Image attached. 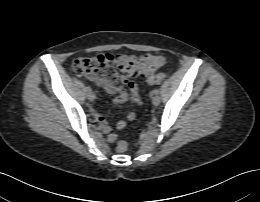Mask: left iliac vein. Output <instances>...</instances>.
Segmentation results:
<instances>
[{"label":"left iliac vein","instance_id":"left-iliac-vein-1","mask_svg":"<svg viewBox=\"0 0 260 202\" xmlns=\"http://www.w3.org/2000/svg\"><path fill=\"white\" fill-rule=\"evenodd\" d=\"M152 103H153L154 106H158V105L160 104V97L155 94V95L152 97Z\"/></svg>","mask_w":260,"mask_h":202}]
</instances>
